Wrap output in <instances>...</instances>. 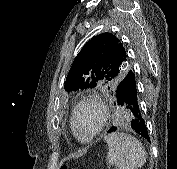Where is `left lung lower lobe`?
Segmentation results:
<instances>
[{
    "label": "left lung lower lobe",
    "mask_w": 177,
    "mask_h": 169,
    "mask_svg": "<svg viewBox=\"0 0 177 169\" xmlns=\"http://www.w3.org/2000/svg\"><path fill=\"white\" fill-rule=\"evenodd\" d=\"M119 105L131 111L135 118L131 121V128L139 135L150 141L148 130L137 100L135 75L129 70L115 90ZM117 128L112 127L108 132H114Z\"/></svg>",
    "instance_id": "1"
}]
</instances>
